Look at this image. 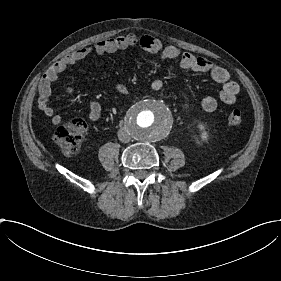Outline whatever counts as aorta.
I'll use <instances>...</instances> for the list:
<instances>
[{
    "label": "aorta",
    "mask_w": 281,
    "mask_h": 281,
    "mask_svg": "<svg viewBox=\"0 0 281 281\" xmlns=\"http://www.w3.org/2000/svg\"><path fill=\"white\" fill-rule=\"evenodd\" d=\"M173 118L169 108L160 101L146 99L134 104L126 115L129 134L141 142H154L166 137Z\"/></svg>",
    "instance_id": "aorta-1"
}]
</instances>
